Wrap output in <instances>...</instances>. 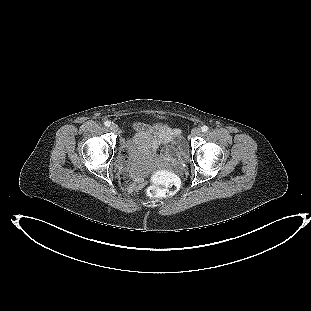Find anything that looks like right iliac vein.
<instances>
[{
	"label": "right iliac vein",
	"instance_id": "63e3f726",
	"mask_svg": "<svg viewBox=\"0 0 311 311\" xmlns=\"http://www.w3.org/2000/svg\"><path fill=\"white\" fill-rule=\"evenodd\" d=\"M110 130H111L112 132H118L119 127H118L117 124L112 123V124L110 125Z\"/></svg>",
	"mask_w": 311,
	"mask_h": 311
}]
</instances>
